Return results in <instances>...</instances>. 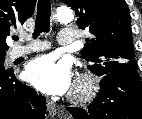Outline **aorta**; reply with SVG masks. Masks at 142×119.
<instances>
[{"label": "aorta", "mask_w": 142, "mask_h": 119, "mask_svg": "<svg viewBox=\"0 0 142 119\" xmlns=\"http://www.w3.org/2000/svg\"><path fill=\"white\" fill-rule=\"evenodd\" d=\"M56 20L61 23H69L73 20V12L67 7H61L56 12Z\"/></svg>", "instance_id": "aorta-1"}]
</instances>
